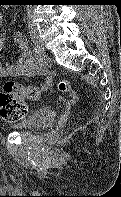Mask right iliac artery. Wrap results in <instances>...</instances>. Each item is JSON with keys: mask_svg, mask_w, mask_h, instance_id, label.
I'll return each instance as SVG.
<instances>
[{"mask_svg": "<svg viewBox=\"0 0 121 197\" xmlns=\"http://www.w3.org/2000/svg\"><path fill=\"white\" fill-rule=\"evenodd\" d=\"M33 46H34V45H33ZM34 52H35L36 56L38 57L40 64L43 65L44 62H45V60H44V58L41 56V51L38 49V47L34 46Z\"/></svg>", "mask_w": 121, "mask_h": 197, "instance_id": "right-iliac-artery-1", "label": "right iliac artery"}]
</instances>
